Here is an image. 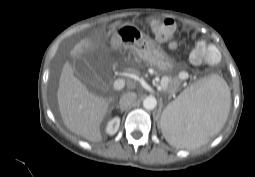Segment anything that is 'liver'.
Wrapping results in <instances>:
<instances>
[{
	"label": "liver",
	"instance_id": "1",
	"mask_svg": "<svg viewBox=\"0 0 255 177\" xmlns=\"http://www.w3.org/2000/svg\"><path fill=\"white\" fill-rule=\"evenodd\" d=\"M120 24V21L113 23L111 25L112 30ZM96 48L98 45L85 38L74 46L70 54L74 58L90 50L94 52ZM57 100L62 120L71 132L92 142L102 140L100 125L114 98H103L90 92L75 77L69 62L64 64L61 72Z\"/></svg>",
	"mask_w": 255,
	"mask_h": 177
}]
</instances>
